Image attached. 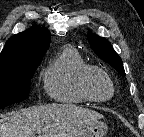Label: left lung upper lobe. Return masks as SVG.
<instances>
[{
  "label": "left lung upper lobe",
  "instance_id": "1",
  "mask_svg": "<svg viewBox=\"0 0 144 137\" xmlns=\"http://www.w3.org/2000/svg\"><path fill=\"white\" fill-rule=\"evenodd\" d=\"M88 41L92 49L103 61L108 62L122 76H125L122 60L119 55L113 50L109 41L93 34L90 31L88 32Z\"/></svg>",
  "mask_w": 144,
  "mask_h": 137
}]
</instances>
